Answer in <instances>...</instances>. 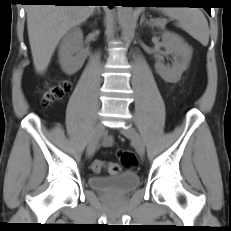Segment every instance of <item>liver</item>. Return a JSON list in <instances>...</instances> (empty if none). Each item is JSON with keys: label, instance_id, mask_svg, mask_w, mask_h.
<instances>
[{"label": "liver", "instance_id": "obj_1", "mask_svg": "<svg viewBox=\"0 0 231 231\" xmlns=\"http://www.w3.org/2000/svg\"><path fill=\"white\" fill-rule=\"evenodd\" d=\"M95 7L88 5H29L27 29L35 70L43 73L62 37L86 21Z\"/></svg>", "mask_w": 231, "mask_h": 231}]
</instances>
